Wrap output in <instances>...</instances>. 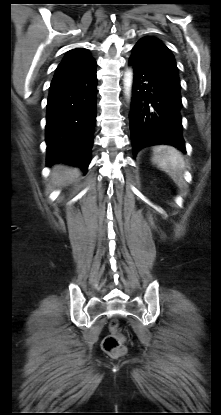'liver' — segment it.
I'll use <instances>...</instances> for the list:
<instances>
[{
	"instance_id": "6515ba94",
	"label": "liver",
	"mask_w": 221,
	"mask_h": 415,
	"mask_svg": "<svg viewBox=\"0 0 221 415\" xmlns=\"http://www.w3.org/2000/svg\"><path fill=\"white\" fill-rule=\"evenodd\" d=\"M80 174L79 169L64 165H55L53 167L51 176L52 181L57 186L65 185L73 181Z\"/></svg>"
}]
</instances>
